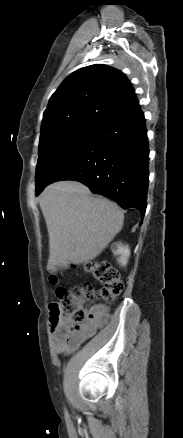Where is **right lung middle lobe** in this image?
Returning <instances> with one entry per match:
<instances>
[{
    "instance_id": "dd1d6c3e",
    "label": "right lung middle lobe",
    "mask_w": 183,
    "mask_h": 438,
    "mask_svg": "<svg viewBox=\"0 0 183 438\" xmlns=\"http://www.w3.org/2000/svg\"><path fill=\"white\" fill-rule=\"evenodd\" d=\"M97 126L77 125L52 130L40 137L36 193L45 188L88 143Z\"/></svg>"
}]
</instances>
